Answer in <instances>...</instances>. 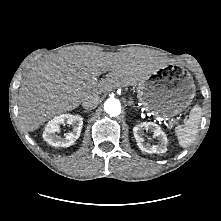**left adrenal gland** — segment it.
Wrapping results in <instances>:
<instances>
[{
  "mask_svg": "<svg viewBox=\"0 0 221 221\" xmlns=\"http://www.w3.org/2000/svg\"><path fill=\"white\" fill-rule=\"evenodd\" d=\"M128 104H129V105H134V104H133V101H131V100L128 101Z\"/></svg>",
  "mask_w": 221,
  "mask_h": 221,
  "instance_id": "left-adrenal-gland-1",
  "label": "left adrenal gland"
}]
</instances>
